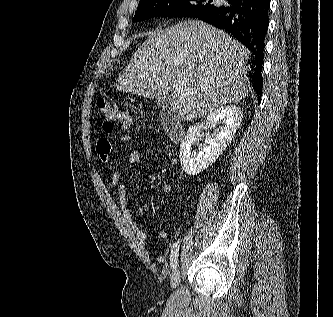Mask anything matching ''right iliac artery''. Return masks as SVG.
Segmentation results:
<instances>
[{
    "label": "right iliac artery",
    "mask_w": 333,
    "mask_h": 317,
    "mask_svg": "<svg viewBox=\"0 0 333 317\" xmlns=\"http://www.w3.org/2000/svg\"><path fill=\"white\" fill-rule=\"evenodd\" d=\"M179 241H177L176 243H174L172 249H171V255H170V263H171V267L173 269L176 268L177 266V259H178V254H179Z\"/></svg>",
    "instance_id": "82829eb1"
}]
</instances>
